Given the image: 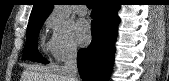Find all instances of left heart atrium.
Here are the masks:
<instances>
[{"instance_id": "left-heart-atrium-1", "label": "left heart atrium", "mask_w": 169, "mask_h": 81, "mask_svg": "<svg viewBox=\"0 0 169 81\" xmlns=\"http://www.w3.org/2000/svg\"><path fill=\"white\" fill-rule=\"evenodd\" d=\"M75 36L80 44H86L90 40V26L85 19L75 23Z\"/></svg>"}]
</instances>
